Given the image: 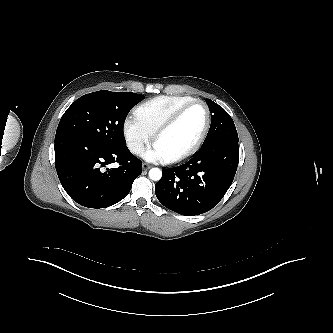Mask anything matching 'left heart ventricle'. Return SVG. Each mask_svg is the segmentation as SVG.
<instances>
[{"instance_id":"left-heart-ventricle-1","label":"left heart ventricle","mask_w":333,"mask_h":333,"mask_svg":"<svg viewBox=\"0 0 333 333\" xmlns=\"http://www.w3.org/2000/svg\"><path fill=\"white\" fill-rule=\"evenodd\" d=\"M206 121V111L203 105L190 107L180 119L165 132L155 146L165 158L188 150L200 136Z\"/></svg>"}]
</instances>
